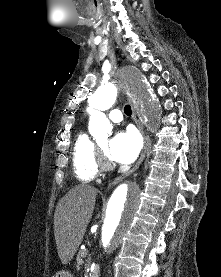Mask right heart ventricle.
<instances>
[{"label": "right heart ventricle", "instance_id": "e07e8e85", "mask_svg": "<svg viewBox=\"0 0 221 277\" xmlns=\"http://www.w3.org/2000/svg\"><path fill=\"white\" fill-rule=\"evenodd\" d=\"M72 165L76 178L81 182H90L99 173L97 146L85 132H80L73 144Z\"/></svg>", "mask_w": 221, "mask_h": 277}]
</instances>
